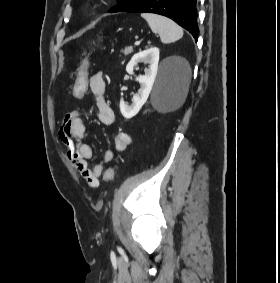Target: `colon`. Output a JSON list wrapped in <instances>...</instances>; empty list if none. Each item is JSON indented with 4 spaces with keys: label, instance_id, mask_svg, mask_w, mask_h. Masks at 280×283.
<instances>
[{
    "label": "colon",
    "instance_id": "5ec220e1",
    "mask_svg": "<svg viewBox=\"0 0 280 283\" xmlns=\"http://www.w3.org/2000/svg\"><path fill=\"white\" fill-rule=\"evenodd\" d=\"M91 52V48L87 49L82 57L81 67L82 70L80 73H78L77 79H75V82L73 84V87H71L72 95L74 96V99H76L77 102H80L81 99H85V96L87 95V92L91 91V88L89 87L90 82V70H85L88 63H89V55ZM114 177V170L113 168H108L106 171L105 178L108 182L112 181Z\"/></svg>",
    "mask_w": 280,
    "mask_h": 283
}]
</instances>
